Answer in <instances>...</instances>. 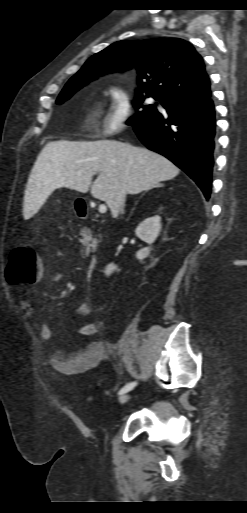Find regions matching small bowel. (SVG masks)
<instances>
[{
    "instance_id": "c3829d8e",
    "label": "small bowel",
    "mask_w": 247,
    "mask_h": 513,
    "mask_svg": "<svg viewBox=\"0 0 247 513\" xmlns=\"http://www.w3.org/2000/svg\"><path fill=\"white\" fill-rule=\"evenodd\" d=\"M56 258L62 259L63 254L56 252ZM54 277H59L60 272L56 271ZM24 313L27 316L33 315V308L29 303L23 304ZM91 305L88 302L81 303L75 314L78 317H86L91 313ZM40 337L43 341L49 342L52 339V329L46 323H40L38 326ZM78 332L81 336L88 339L85 347L78 352L54 351L48 357V363L57 373L64 375H76L84 373L97 367L109 358H116L121 354L122 345L120 343L107 344L99 337V328L94 323H82Z\"/></svg>"
}]
</instances>
